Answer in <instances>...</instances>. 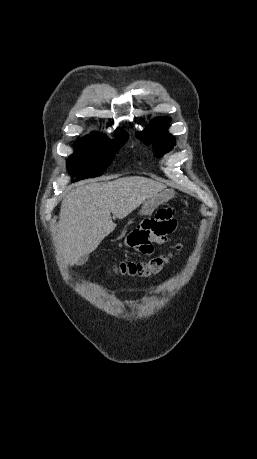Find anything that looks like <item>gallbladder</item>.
Returning <instances> with one entry per match:
<instances>
[{"mask_svg":"<svg viewBox=\"0 0 257 459\" xmlns=\"http://www.w3.org/2000/svg\"><path fill=\"white\" fill-rule=\"evenodd\" d=\"M87 260H88V255L81 256V257L79 258V260H78V264H79V265H82V264L86 263Z\"/></svg>","mask_w":257,"mask_h":459,"instance_id":"bac80fb5","label":"gallbladder"}]
</instances>
